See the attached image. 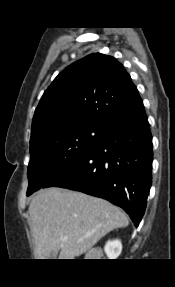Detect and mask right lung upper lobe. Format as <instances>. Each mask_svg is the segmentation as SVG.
I'll return each mask as SVG.
<instances>
[{
    "label": "right lung upper lobe",
    "instance_id": "right-lung-upper-lobe-1",
    "mask_svg": "<svg viewBox=\"0 0 175 287\" xmlns=\"http://www.w3.org/2000/svg\"><path fill=\"white\" fill-rule=\"evenodd\" d=\"M142 105L120 62L90 54L63 70L44 92L34 113L30 142L74 125L106 126Z\"/></svg>",
    "mask_w": 175,
    "mask_h": 287
}]
</instances>
